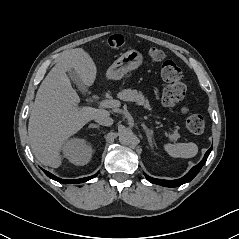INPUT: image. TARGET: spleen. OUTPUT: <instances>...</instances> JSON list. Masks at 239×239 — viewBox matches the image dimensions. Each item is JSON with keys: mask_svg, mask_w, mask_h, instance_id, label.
Segmentation results:
<instances>
[{"mask_svg": "<svg viewBox=\"0 0 239 239\" xmlns=\"http://www.w3.org/2000/svg\"><path fill=\"white\" fill-rule=\"evenodd\" d=\"M164 150L174 158H191L198 152V146L195 143H177V144H165Z\"/></svg>", "mask_w": 239, "mask_h": 239, "instance_id": "1", "label": "spleen"}]
</instances>
